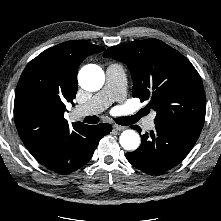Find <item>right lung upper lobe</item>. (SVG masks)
<instances>
[{
    "label": "right lung upper lobe",
    "mask_w": 221,
    "mask_h": 221,
    "mask_svg": "<svg viewBox=\"0 0 221 221\" xmlns=\"http://www.w3.org/2000/svg\"><path fill=\"white\" fill-rule=\"evenodd\" d=\"M103 50L84 41H67L45 50L24 69L15 92L14 121L38 161L55 157L72 135L87 126L76 122L70 128L64 103H73L76 96L81 62Z\"/></svg>",
    "instance_id": "cb5924a9"
}]
</instances>
